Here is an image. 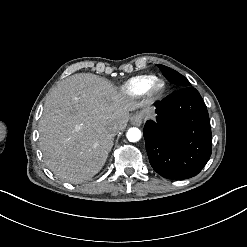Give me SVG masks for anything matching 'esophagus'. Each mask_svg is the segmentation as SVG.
<instances>
[{
  "label": "esophagus",
  "instance_id": "34e87169",
  "mask_svg": "<svg viewBox=\"0 0 247 247\" xmlns=\"http://www.w3.org/2000/svg\"><path fill=\"white\" fill-rule=\"evenodd\" d=\"M142 123V117L140 114H134L131 117V124H133L134 126H140Z\"/></svg>",
  "mask_w": 247,
  "mask_h": 247
}]
</instances>
